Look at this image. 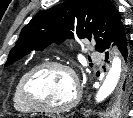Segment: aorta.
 Segmentation results:
<instances>
[{"instance_id":"obj_1","label":"aorta","mask_w":133,"mask_h":118,"mask_svg":"<svg viewBox=\"0 0 133 118\" xmlns=\"http://www.w3.org/2000/svg\"><path fill=\"white\" fill-rule=\"evenodd\" d=\"M122 74V61L121 58L115 53L113 57L111 67L107 73L102 86L99 88L96 94V102L100 103L111 95L116 89Z\"/></svg>"}]
</instances>
